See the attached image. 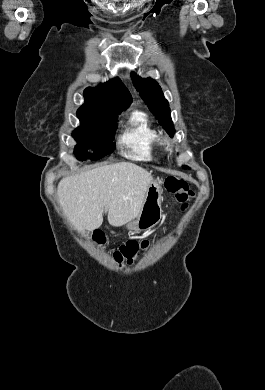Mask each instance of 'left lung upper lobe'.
Returning a JSON list of instances; mask_svg holds the SVG:
<instances>
[{"mask_svg":"<svg viewBox=\"0 0 265 390\" xmlns=\"http://www.w3.org/2000/svg\"><path fill=\"white\" fill-rule=\"evenodd\" d=\"M131 78L133 85L150 111L170 137H173L175 129L170 115L169 103L164 98L159 84L152 78H141L135 73L131 74ZM183 168H187V166H183Z\"/></svg>","mask_w":265,"mask_h":390,"instance_id":"1","label":"left lung upper lobe"}]
</instances>
